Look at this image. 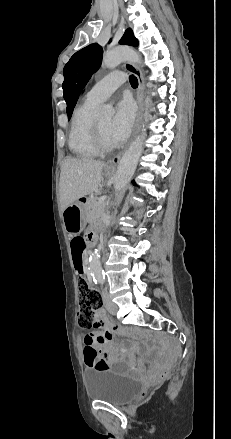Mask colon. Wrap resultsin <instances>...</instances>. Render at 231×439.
<instances>
[{
	"label": "colon",
	"mask_w": 231,
	"mask_h": 439,
	"mask_svg": "<svg viewBox=\"0 0 231 439\" xmlns=\"http://www.w3.org/2000/svg\"><path fill=\"white\" fill-rule=\"evenodd\" d=\"M81 242L84 244L83 240L76 239L74 240V243ZM76 286L79 296V304H80V314H79V322L80 325L84 328H91L96 320V313L100 309L101 300L99 297V294L95 289H93L85 275H80L76 280ZM112 330L114 332H119L122 334H135L136 336L145 339L150 340L153 342L158 343L161 347L171 350L170 345L166 341H158L151 337L149 334H147L144 331H141L139 329L125 327V326H117L113 327ZM93 353L88 352L86 360L88 362V365L93 360ZM172 363V360L169 361V364ZM95 369H105L107 367V363L103 361H98L95 365ZM168 376V368H166L164 371L161 372L159 379L164 380Z\"/></svg>",
	"instance_id": "1"
}]
</instances>
